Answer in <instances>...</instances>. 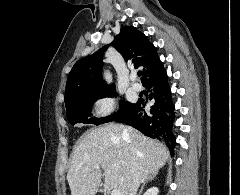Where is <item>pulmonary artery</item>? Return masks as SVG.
I'll list each match as a JSON object with an SVG mask.
<instances>
[{
	"label": "pulmonary artery",
	"instance_id": "e3ab8cb5",
	"mask_svg": "<svg viewBox=\"0 0 240 195\" xmlns=\"http://www.w3.org/2000/svg\"><path fill=\"white\" fill-rule=\"evenodd\" d=\"M132 89L135 91V92H141L143 87L142 85L139 83V82H136L134 80L133 84H132Z\"/></svg>",
	"mask_w": 240,
	"mask_h": 195
}]
</instances>
